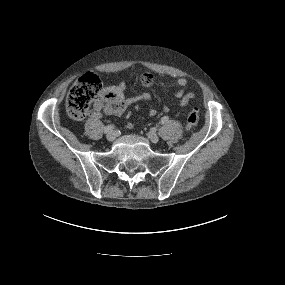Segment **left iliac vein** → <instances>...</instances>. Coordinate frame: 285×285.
<instances>
[{"label":"left iliac vein","instance_id":"left-iliac-vein-1","mask_svg":"<svg viewBox=\"0 0 285 285\" xmlns=\"http://www.w3.org/2000/svg\"><path fill=\"white\" fill-rule=\"evenodd\" d=\"M147 137L153 143H157L159 141V137H158V135L156 133L149 132L147 134Z\"/></svg>","mask_w":285,"mask_h":285}]
</instances>
